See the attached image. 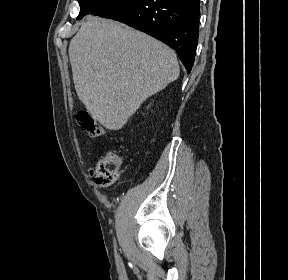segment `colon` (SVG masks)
<instances>
[{"label":"colon","instance_id":"obj_1","mask_svg":"<svg viewBox=\"0 0 288 280\" xmlns=\"http://www.w3.org/2000/svg\"><path fill=\"white\" fill-rule=\"evenodd\" d=\"M80 126L92 137L104 134V129L98 119L87 110H80L77 114ZM124 158L114 152L103 156L95 167V183L99 186H110L118 178Z\"/></svg>","mask_w":288,"mask_h":280}]
</instances>
